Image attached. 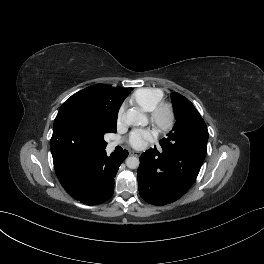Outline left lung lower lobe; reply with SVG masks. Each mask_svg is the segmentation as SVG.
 Wrapping results in <instances>:
<instances>
[{
	"instance_id": "left-lung-lower-lobe-1",
	"label": "left lung lower lobe",
	"mask_w": 264,
	"mask_h": 264,
	"mask_svg": "<svg viewBox=\"0 0 264 264\" xmlns=\"http://www.w3.org/2000/svg\"><path fill=\"white\" fill-rule=\"evenodd\" d=\"M207 143L183 148H154L140 157L138 185L140 196L153 205L172 203L185 194L194 183L207 153Z\"/></svg>"
}]
</instances>
